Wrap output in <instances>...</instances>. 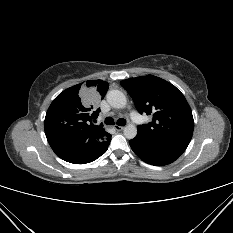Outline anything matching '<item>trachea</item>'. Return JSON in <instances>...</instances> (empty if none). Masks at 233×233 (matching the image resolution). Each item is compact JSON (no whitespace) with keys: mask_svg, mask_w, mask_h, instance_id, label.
I'll list each match as a JSON object with an SVG mask.
<instances>
[{"mask_svg":"<svg viewBox=\"0 0 233 233\" xmlns=\"http://www.w3.org/2000/svg\"><path fill=\"white\" fill-rule=\"evenodd\" d=\"M105 124H107V125H114L115 124L114 119L112 117H107L105 119ZM125 124H126V120L125 119H123V118L118 119L117 125L124 126Z\"/></svg>","mask_w":233,"mask_h":233,"instance_id":"trachea-1","label":"trachea"}]
</instances>
